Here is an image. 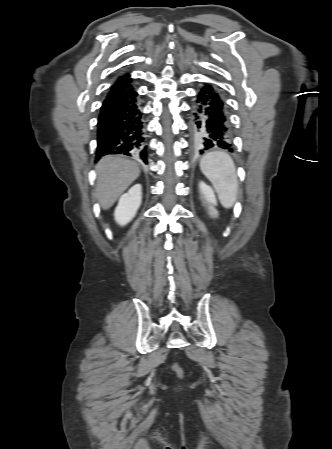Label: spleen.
<instances>
[{"mask_svg":"<svg viewBox=\"0 0 332 449\" xmlns=\"http://www.w3.org/2000/svg\"><path fill=\"white\" fill-rule=\"evenodd\" d=\"M200 169L211 181L221 204L225 208H231L236 201L238 191L233 159L225 152H210L202 157Z\"/></svg>","mask_w":332,"mask_h":449,"instance_id":"1","label":"spleen"}]
</instances>
